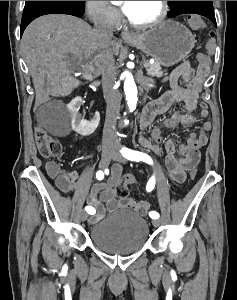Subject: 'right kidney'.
Returning <instances> with one entry per match:
<instances>
[{
    "label": "right kidney",
    "mask_w": 237,
    "mask_h": 300,
    "mask_svg": "<svg viewBox=\"0 0 237 300\" xmlns=\"http://www.w3.org/2000/svg\"><path fill=\"white\" fill-rule=\"evenodd\" d=\"M81 105V97H75V99H72L71 103H69L68 109L72 115L71 125L73 131H76V133L82 135V137H87V135H92V133L96 131L100 123V113H94L92 119L85 121L79 113Z\"/></svg>",
    "instance_id": "right-kidney-1"
}]
</instances>
